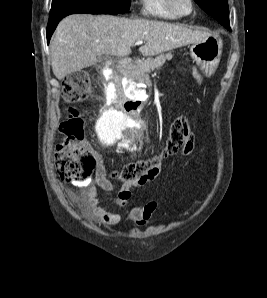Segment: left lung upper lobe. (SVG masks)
Listing matches in <instances>:
<instances>
[{
	"mask_svg": "<svg viewBox=\"0 0 267 298\" xmlns=\"http://www.w3.org/2000/svg\"><path fill=\"white\" fill-rule=\"evenodd\" d=\"M195 2L209 15L220 23H229L227 0H195Z\"/></svg>",
	"mask_w": 267,
	"mask_h": 298,
	"instance_id": "left-lung-upper-lobe-1",
	"label": "left lung upper lobe"
}]
</instances>
